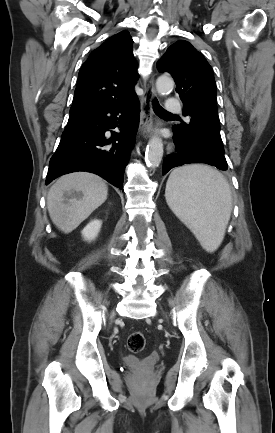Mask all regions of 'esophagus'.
I'll return each mask as SVG.
<instances>
[{"label":"esophagus","instance_id":"obj_1","mask_svg":"<svg viewBox=\"0 0 275 433\" xmlns=\"http://www.w3.org/2000/svg\"><path fill=\"white\" fill-rule=\"evenodd\" d=\"M156 96L154 77L150 75L144 81V94L141 103L140 133L149 137L153 131V100Z\"/></svg>","mask_w":275,"mask_h":433}]
</instances>
